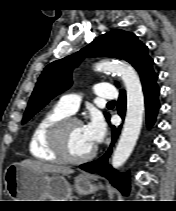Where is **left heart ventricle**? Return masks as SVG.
I'll list each match as a JSON object with an SVG mask.
<instances>
[{"label":"left heart ventricle","instance_id":"obj_1","mask_svg":"<svg viewBox=\"0 0 176 211\" xmlns=\"http://www.w3.org/2000/svg\"><path fill=\"white\" fill-rule=\"evenodd\" d=\"M65 143L67 151L75 157L85 155L94 147L85 134L84 126L76 123L66 129Z\"/></svg>","mask_w":176,"mask_h":211}]
</instances>
